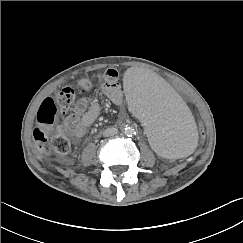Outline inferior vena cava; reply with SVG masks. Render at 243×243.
Here are the masks:
<instances>
[{
    "label": "inferior vena cava",
    "mask_w": 243,
    "mask_h": 243,
    "mask_svg": "<svg viewBox=\"0 0 243 243\" xmlns=\"http://www.w3.org/2000/svg\"><path fill=\"white\" fill-rule=\"evenodd\" d=\"M118 133V129L115 127H109L104 130L103 135L106 137L113 136Z\"/></svg>",
    "instance_id": "1"
}]
</instances>
